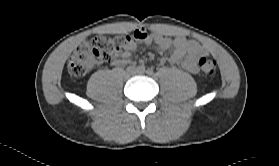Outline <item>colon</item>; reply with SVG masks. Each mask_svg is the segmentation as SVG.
Listing matches in <instances>:
<instances>
[{
    "label": "colon",
    "mask_w": 279,
    "mask_h": 166,
    "mask_svg": "<svg viewBox=\"0 0 279 166\" xmlns=\"http://www.w3.org/2000/svg\"><path fill=\"white\" fill-rule=\"evenodd\" d=\"M140 37L139 33L134 32L86 39L71 55L68 63L69 72L75 77H83L102 62L121 57L128 44ZM198 65L205 76H212L216 72V61L211 57H201Z\"/></svg>",
    "instance_id": "obj_1"
}]
</instances>
